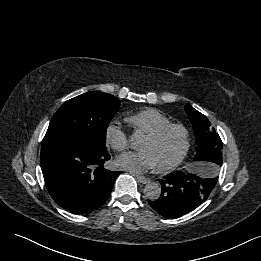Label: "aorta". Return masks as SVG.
Listing matches in <instances>:
<instances>
[{
    "mask_svg": "<svg viewBox=\"0 0 261 261\" xmlns=\"http://www.w3.org/2000/svg\"><path fill=\"white\" fill-rule=\"evenodd\" d=\"M143 141V134L140 131H135L130 138L131 148L136 149ZM145 196L152 201L157 200L161 195V187L155 182H150L144 187Z\"/></svg>",
    "mask_w": 261,
    "mask_h": 261,
    "instance_id": "762f6f07",
    "label": "aorta"
}]
</instances>
